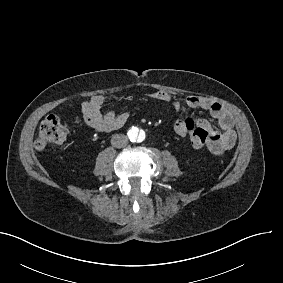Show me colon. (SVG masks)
I'll return each mask as SVG.
<instances>
[{"instance_id":"colon-1","label":"colon","mask_w":283,"mask_h":283,"mask_svg":"<svg viewBox=\"0 0 283 283\" xmlns=\"http://www.w3.org/2000/svg\"><path fill=\"white\" fill-rule=\"evenodd\" d=\"M71 124H77L78 120L73 119ZM184 125L188 128V135L191 137L194 148H199L200 144L209 140L210 132L203 127L193 125L191 118L184 120ZM69 136V124L65 123L61 116H47L40 124L38 133L35 139L36 147H45L47 145L62 143Z\"/></svg>"}]
</instances>
